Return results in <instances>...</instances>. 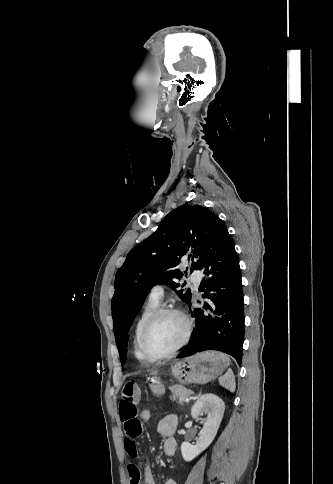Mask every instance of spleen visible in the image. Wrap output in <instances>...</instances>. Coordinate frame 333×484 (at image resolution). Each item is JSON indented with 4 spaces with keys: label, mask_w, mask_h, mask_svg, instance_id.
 <instances>
[{
    "label": "spleen",
    "mask_w": 333,
    "mask_h": 484,
    "mask_svg": "<svg viewBox=\"0 0 333 484\" xmlns=\"http://www.w3.org/2000/svg\"><path fill=\"white\" fill-rule=\"evenodd\" d=\"M219 383L225 389H228L230 392H234L236 389V382L232 370H228L223 376H221Z\"/></svg>",
    "instance_id": "spleen-1"
}]
</instances>
